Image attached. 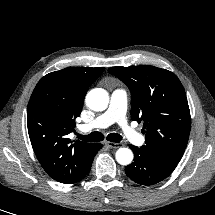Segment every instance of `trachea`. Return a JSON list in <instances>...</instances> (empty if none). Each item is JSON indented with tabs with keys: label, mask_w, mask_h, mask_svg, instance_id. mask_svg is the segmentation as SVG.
Listing matches in <instances>:
<instances>
[{
	"label": "trachea",
	"mask_w": 215,
	"mask_h": 215,
	"mask_svg": "<svg viewBox=\"0 0 215 215\" xmlns=\"http://www.w3.org/2000/svg\"><path fill=\"white\" fill-rule=\"evenodd\" d=\"M77 137L83 141H86V142H99V141H102L104 139L103 134L100 132H92L89 135L77 134ZM106 139L108 141L118 143L122 140V136L117 134V133H111L106 137Z\"/></svg>",
	"instance_id": "trachea-1"
}]
</instances>
